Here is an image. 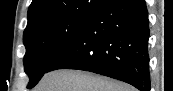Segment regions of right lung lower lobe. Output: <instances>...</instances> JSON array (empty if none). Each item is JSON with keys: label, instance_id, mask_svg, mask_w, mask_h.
Here are the masks:
<instances>
[{"label": "right lung lower lobe", "instance_id": "98d812e1", "mask_svg": "<svg viewBox=\"0 0 173 91\" xmlns=\"http://www.w3.org/2000/svg\"><path fill=\"white\" fill-rule=\"evenodd\" d=\"M149 20L144 0H111L50 64L98 73L150 91Z\"/></svg>", "mask_w": 173, "mask_h": 91}]
</instances>
